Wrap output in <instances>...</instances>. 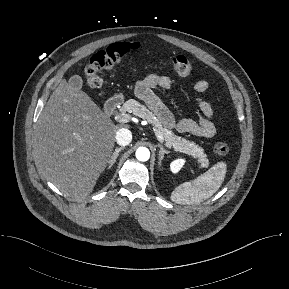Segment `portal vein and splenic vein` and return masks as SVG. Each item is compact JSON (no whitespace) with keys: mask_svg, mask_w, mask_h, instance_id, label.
I'll use <instances>...</instances> for the list:
<instances>
[{"mask_svg":"<svg viewBox=\"0 0 289 289\" xmlns=\"http://www.w3.org/2000/svg\"><path fill=\"white\" fill-rule=\"evenodd\" d=\"M117 120L121 123H127L130 121V116L128 114H125V113H121V114H118L116 116ZM153 130L155 132V135L157 137V139L163 143L164 142V138L162 136V133L156 128L153 126Z\"/></svg>","mask_w":289,"mask_h":289,"instance_id":"portal-vein-and-splenic-vein-1","label":"portal vein and splenic vein"}]
</instances>
